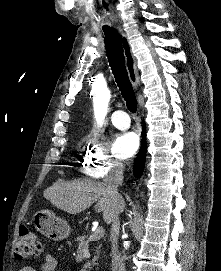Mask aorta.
Instances as JSON below:
<instances>
[{"label":"aorta","instance_id":"762f6f07","mask_svg":"<svg viewBox=\"0 0 221 271\" xmlns=\"http://www.w3.org/2000/svg\"><path fill=\"white\" fill-rule=\"evenodd\" d=\"M110 101V92L105 91L104 93L98 94L95 98V117L98 123H102L106 114L107 108ZM128 242H124V246L128 247Z\"/></svg>","mask_w":221,"mask_h":271}]
</instances>
